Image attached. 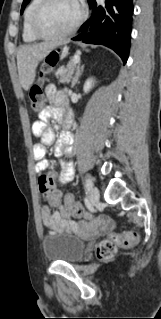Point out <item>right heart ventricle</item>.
Returning <instances> with one entry per match:
<instances>
[{"mask_svg":"<svg viewBox=\"0 0 161 319\" xmlns=\"http://www.w3.org/2000/svg\"><path fill=\"white\" fill-rule=\"evenodd\" d=\"M40 0H32L24 13L22 38L25 42L35 41L37 38L33 35L30 29V22L35 8L37 7Z\"/></svg>","mask_w":161,"mask_h":319,"instance_id":"1","label":"right heart ventricle"}]
</instances>
